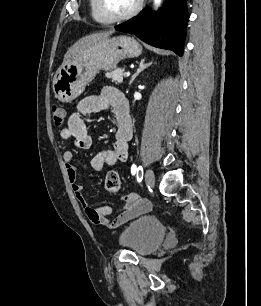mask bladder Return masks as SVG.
Masks as SVG:
<instances>
[{
	"instance_id": "obj_1",
	"label": "bladder",
	"mask_w": 261,
	"mask_h": 306,
	"mask_svg": "<svg viewBox=\"0 0 261 306\" xmlns=\"http://www.w3.org/2000/svg\"><path fill=\"white\" fill-rule=\"evenodd\" d=\"M164 225L153 216H142L130 222L119 235V244L139 256L149 255L163 242Z\"/></svg>"
}]
</instances>
